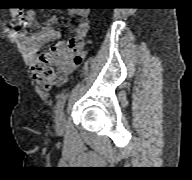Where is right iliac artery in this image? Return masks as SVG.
Segmentation results:
<instances>
[{
	"label": "right iliac artery",
	"mask_w": 192,
	"mask_h": 180,
	"mask_svg": "<svg viewBox=\"0 0 192 180\" xmlns=\"http://www.w3.org/2000/svg\"><path fill=\"white\" fill-rule=\"evenodd\" d=\"M66 97H67V95H62L59 98V100H58V102L56 104V108H55L56 115H58L62 111V109L64 107V104H65Z\"/></svg>",
	"instance_id": "1"
}]
</instances>
